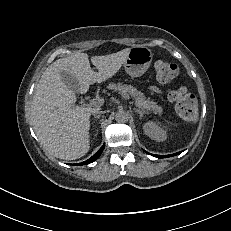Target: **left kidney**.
I'll return each mask as SVG.
<instances>
[{
	"mask_svg": "<svg viewBox=\"0 0 231 231\" xmlns=\"http://www.w3.org/2000/svg\"><path fill=\"white\" fill-rule=\"evenodd\" d=\"M144 133L150 137L151 139L162 142L165 141L167 138L166 131L163 130L160 126H158L153 121H148L143 125Z\"/></svg>",
	"mask_w": 231,
	"mask_h": 231,
	"instance_id": "obj_1",
	"label": "left kidney"
}]
</instances>
